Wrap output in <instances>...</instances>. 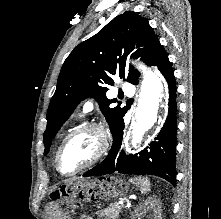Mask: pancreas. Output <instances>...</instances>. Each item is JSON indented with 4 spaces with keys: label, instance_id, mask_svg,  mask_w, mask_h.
<instances>
[{
    "label": "pancreas",
    "instance_id": "cf45deb5",
    "mask_svg": "<svg viewBox=\"0 0 221 219\" xmlns=\"http://www.w3.org/2000/svg\"><path fill=\"white\" fill-rule=\"evenodd\" d=\"M121 212V207L114 203L109 207L96 212V215L99 217H104L105 219H117L119 217V213Z\"/></svg>",
    "mask_w": 221,
    "mask_h": 219
}]
</instances>
